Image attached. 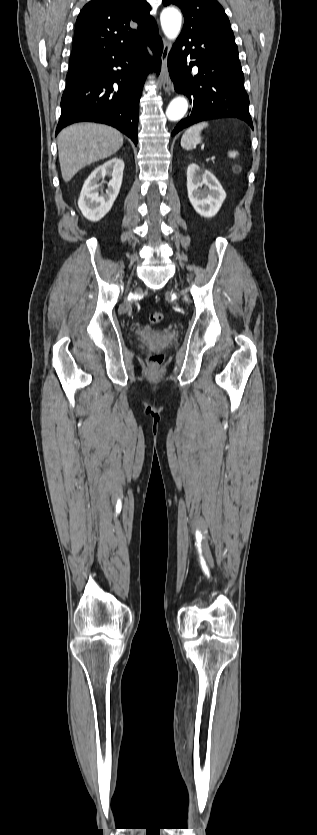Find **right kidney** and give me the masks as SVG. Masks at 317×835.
<instances>
[{"label":"right kidney","mask_w":317,"mask_h":835,"mask_svg":"<svg viewBox=\"0 0 317 835\" xmlns=\"http://www.w3.org/2000/svg\"><path fill=\"white\" fill-rule=\"evenodd\" d=\"M124 162L120 158H112L93 170L85 181L78 207L83 216L90 221L101 220L111 209L121 188ZM105 176L111 179L103 193L102 182ZM102 179V182L100 180Z\"/></svg>","instance_id":"1"}]
</instances>
